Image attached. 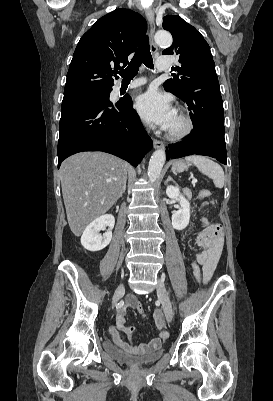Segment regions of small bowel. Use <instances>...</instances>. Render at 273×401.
I'll return each mask as SVG.
<instances>
[{
    "label": "small bowel",
    "mask_w": 273,
    "mask_h": 401,
    "mask_svg": "<svg viewBox=\"0 0 273 401\" xmlns=\"http://www.w3.org/2000/svg\"><path fill=\"white\" fill-rule=\"evenodd\" d=\"M206 228L214 227L213 224H207ZM197 244L203 249L198 255V260L203 267V279L205 282H208L213 276L218 259L222 252L223 241H202L201 235H199L197 238ZM136 299L138 298L135 295H128L122 306L119 308L116 315L115 325L110 329L111 339L117 346L134 353L144 351L155 352L160 348L161 341H166L168 338L167 328L164 326L161 327L163 318H160L162 316L160 311L154 312V317L156 318L154 322L158 330V335L150 342L140 345H129L123 342L118 334V332H123L125 335L130 337L134 333L135 328L133 326L126 325V310L129 308L134 309Z\"/></svg>",
    "instance_id": "small-bowel-1"
}]
</instances>
